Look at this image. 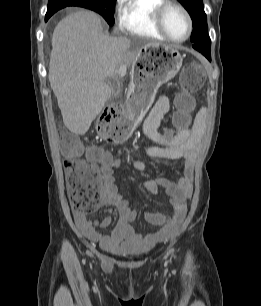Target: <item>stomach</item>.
<instances>
[{
  "instance_id": "stomach-1",
  "label": "stomach",
  "mask_w": 261,
  "mask_h": 306,
  "mask_svg": "<svg viewBox=\"0 0 261 306\" xmlns=\"http://www.w3.org/2000/svg\"><path fill=\"white\" fill-rule=\"evenodd\" d=\"M179 51L167 45L146 47L133 62V83L127 93L123 119L132 133L152 105L161 85L182 67Z\"/></svg>"
}]
</instances>
